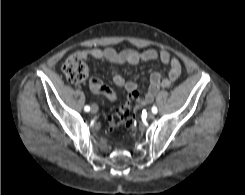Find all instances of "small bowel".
<instances>
[{"label":"small bowel","instance_id":"1","mask_svg":"<svg viewBox=\"0 0 245 195\" xmlns=\"http://www.w3.org/2000/svg\"><path fill=\"white\" fill-rule=\"evenodd\" d=\"M80 57L82 59L94 58L96 60H105L118 66L124 64L135 66L140 62L161 61L164 65L169 67L168 76L164 77L159 71H155L151 74L148 92L145 96V103L151 102L161 88L169 87L181 75L180 61L175 57H171L170 53L164 49L160 51L146 49L139 52L132 49L117 51L113 48H87L80 51ZM112 80L115 85L124 88L129 93L137 91V84L133 81L126 80L121 74H115ZM89 86L91 91L95 94H101L111 101L117 99L116 93L97 78H92L89 82Z\"/></svg>","mask_w":245,"mask_h":195}]
</instances>
